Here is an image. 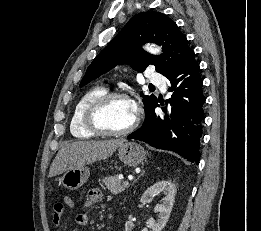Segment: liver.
Returning a JSON list of instances; mask_svg holds the SVG:
<instances>
[{
  "mask_svg": "<svg viewBox=\"0 0 261 231\" xmlns=\"http://www.w3.org/2000/svg\"><path fill=\"white\" fill-rule=\"evenodd\" d=\"M124 142H126L124 139H111L67 143L58 151L50 166L48 177L86 166L96 160L106 159Z\"/></svg>",
  "mask_w": 261,
  "mask_h": 231,
  "instance_id": "obj_1",
  "label": "liver"
}]
</instances>
